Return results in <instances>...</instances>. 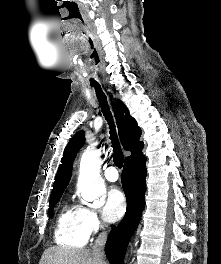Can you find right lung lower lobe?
<instances>
[{"mask_svg":"<svg viewBox=\"0 0 221 264\" xmlns=\"http://www.w3.org/2000/svg\"><path fill=\"white\" fill-rule=\"evenodd\" d=\"M146 158L128 160L121 176L127 199V210L123 220L108 236L105 253L111 264H122L127 245L141 219L145 205Z\"/></svg>","mask_w":221,"mask_h":264,"instance_id":"right-lung-lower-lobe-1","label":"right lung lower lobe"}]
</instances>
